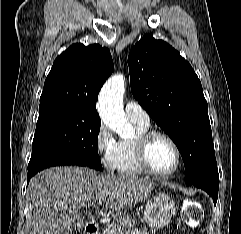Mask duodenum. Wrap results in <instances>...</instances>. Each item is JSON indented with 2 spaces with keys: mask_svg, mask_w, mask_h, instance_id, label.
I'll return each instance as SVG.
<instances>
[{
  "mask_svg": "<svg viewBox=\"0 0 241 234\" xmlns=\"http://www.w3.org/2000/svg\"><path fill=\"white\" fill-rule=\"evenodd\" d=\"M98 229H99L98 217H94L93 219L89 220L85 225L86 234H98Z\"/></svg>",
  "mask_w": 241,
  "mask_h": 234,
  "instance_id": "410a0bca",
  "label": "duodenum"
}]
</instances>
